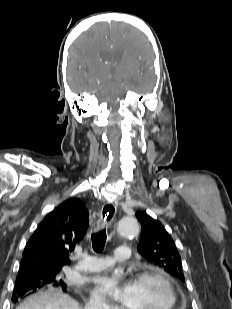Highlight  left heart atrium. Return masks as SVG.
I'll list each match as a JSON object with an SVG mask.
<instances>
[{
    "mask_svg": "<svg viewBox=\"0 0 232 309\" xmlns=\"http://www.w3.org/2000/svg\"><path fill=\"white\" fill-rule=\"evenodd\" d=\"M95 291L109 297L115 292H119L120 301L127 306L129 302V292L131 284L120 273H103L92 278L91 280Z\"/></svg>",
    "mask_w": 232,
    "mask_h": 309,
    "instance_id": "39dd6f15",
    "label": "left heart atrium"
}]
</instances>
